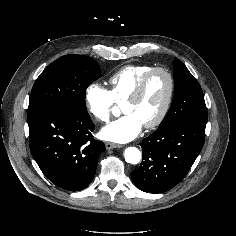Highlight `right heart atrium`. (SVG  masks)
<instances>
[{
  "label": "right heart atrium",
  "instance_id": "d8ad5b80",
  "mask_svg": "<svg viewBox=\"0 0 236 236\" xmlns=\"http://www.w3.org/2000/svg\"><path fill=\"white\" fill-rule=\"evenodd\" d=\"M85 104L88 112L95 120L108 122L115 100L108 89L99 83H92L85 91Z\"/></svg>",
  "mask_w": 236,
  "mask_h": 236
}]
</instances>
